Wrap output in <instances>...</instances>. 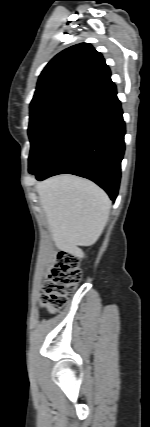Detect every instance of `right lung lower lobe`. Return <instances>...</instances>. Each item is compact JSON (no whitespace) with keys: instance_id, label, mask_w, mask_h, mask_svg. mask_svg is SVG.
<instances>
[{"instance_id":"obj_1","label":"right lung lower lobe","mask_w":150,"mask_h":427,"mask_svg":"<svg viewBox=\"0 0 150 427\" xmlns=\"http://www.w3.org/2000/svg\"><path fill=\"white\" fill-rule=\"evenodd\" d=\"M116 87L74 115L33 173L41 181L70 173L88 178L115 200L125 144V123Z\"/></svg>"}]
</instances>
